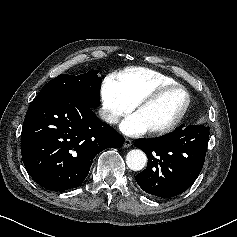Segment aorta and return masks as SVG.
<instances>
[{"instance_id":"obj_1","label":"aorta","mask_w":237,"mask_h":237,"mask_svg":"<svg viewBox=\"0 0 237 237\" xmlns=\"http://www.w3.org/2000/svg\"><path fill=\"white\" fill-rule=\"evenodd\" d=\"M147 157L145 153L139 149H133L127 153L126 164L129 169L139 171L146 165Z\"/></svg>"}]
</instances>
